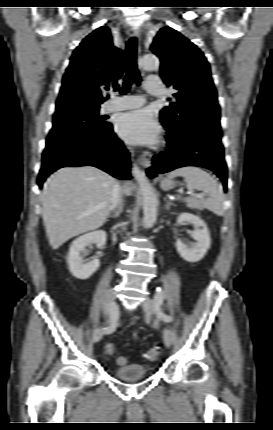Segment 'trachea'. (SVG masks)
I'll return each instance as SVG.
<instances>
[{"mask_svg": "<svg viewBox=\"0 0 273 430\" xmlns=\"http://www.w3.org/2000/svg\"><path fill=\"white\" fill-rule=\"evenodd\" d=\"M137 52V39L136 37L130 38L126 46V59H125V70L126 76L124 78V84L121 90V94H125L133 83L140 85L141 76L137 69L136 62Z\"/></svg>", "mask_w": 273, "mask_h": 430, "instance_id": "3493384b", "label": "trachea"}]
</instances>
